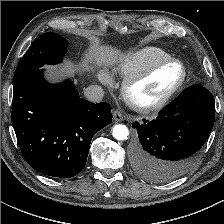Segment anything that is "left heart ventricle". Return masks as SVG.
Segmentation results:
<instances>
[{
	"label": "left heart ventricle",
	"instance_id": "left-heart-ventricle-1",
	"mask_svg": "<svg viewBox=\"0 0 224 224\" xmlns=\"http://www.w3.org/2000/svg\"><path fill=\"white\" fill-rule=\"evenodd\" d=\"M181 68L171 64L162 67L149 78L137 84L132 95L140 104H151L161 99L180 79Z\"/></svg>",
	"mask_w": 224,
	"mask_h": 224
}]
</instances>
